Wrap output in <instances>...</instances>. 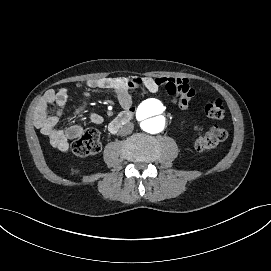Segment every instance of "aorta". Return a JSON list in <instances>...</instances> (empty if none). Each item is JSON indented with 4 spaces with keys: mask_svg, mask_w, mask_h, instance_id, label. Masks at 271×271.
I'll list each match as a JSON object with an SVG mask.
<instances>
[{
    "mask_svg": "<svg viewBox=\"0 0 271 271\" xmlns=\"http://www.w3.org/2000/svg\"><path fill=\"white\" fill-rule=\"evenodd\" d=\"M136 119L145 132L159 133L167 122L166 107L157 99L144 100L136 109Z\"/></svg>",
    "mask_w": 271,
    "mask_h": 271,
    "instance_id": "762f6f07",
    "label": "aorta"
}]
</instances>
